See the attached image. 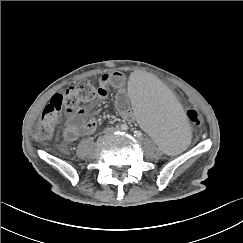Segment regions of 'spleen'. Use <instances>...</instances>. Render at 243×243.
Segmentation results:
<instances>
[{
  "label": "spleen",
  "mask_w": 243,
  "mask_h": 243,
  "mask_svg": "<svg viewBox=\"0 0 243 243\" xmlns=\"http://www.w3.org/2000/svg\"><path fill=\"white\" fill-rule=\"evenodd\" d=\"M128 98L137 127L163 153L176 155L191 144L193 129L177 96L158 76L136 74L128 85Z\"/></svg>",
  "instance_id": "obj_1"
}]
</instances>
